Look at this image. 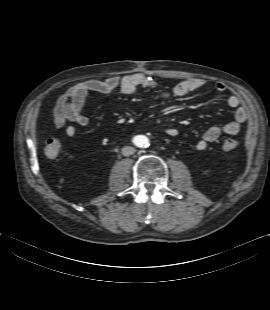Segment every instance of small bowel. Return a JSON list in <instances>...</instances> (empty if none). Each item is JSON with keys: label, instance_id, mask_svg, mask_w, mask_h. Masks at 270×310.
I'll list each match as a JSON object with an SVG mask.
<instances>
[{"label": "small bowel", "instance_id": "c3829d8e", "mask_svg": "<svg viewBox=\"0 0 270 310\" xmlns=\"http://www.w3.org/2000/svg\"><path fill=\"white\" fill-rule=\"evenodd\" d=\"M156 86L157 83L152 77L140 72L104 80L80 81L58 98L54 109V123L57 128L64 129L68 137H73L76 134L75 125L85 127L89 124V118L83 110L90 92L110 93L120 91L123 94H131L138 88L153 89ZM205 86L206 81L204 79L191 78L176 84L171 90L162 91L161 95L164 98L182 97ZM215 89L218 92H225L227 87L223 83H217ZM227 104L234 109L233 120L224 125L208 128L196 143L197 150H204L209 142L216 141L222 134L236 135L239 133L241 124L247 120V110L242 106L241 100L236 94H231L227 98ZM166 132L170 137L178 135L175 128H168Z\"/></svg>", "mask_w": 270, "mask_h": 310}]
</instances>
